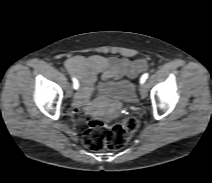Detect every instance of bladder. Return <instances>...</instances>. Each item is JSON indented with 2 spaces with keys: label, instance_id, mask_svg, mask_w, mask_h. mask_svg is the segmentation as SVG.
Wrapping results in <instances>:
<instances>
[{
  "label": "bladder",
  "instance_id": "1",
  "mask_svg": "<svg viewBox=\"0 0 212 183\" xmlns=\"http://www.w3.org/2000/svg\"><path fill=\"white\" fill-rule=\"evenodd\" d=\"M99 90L102 95L126 102L132 101L135 96V86L128 80L103 82L100 84Z\"/></svg>",
  "mask_w": 212,
  "mask_h": 183
}]
</instances>
